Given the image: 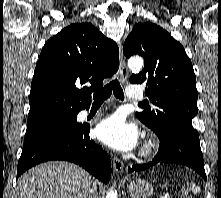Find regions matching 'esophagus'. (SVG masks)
I'll list each match as a JSON object with an SVG mask.
<instances>
[{
	"mask_svg": "<svg viewBox=\"0 0 221 198\" xmlns=\"http://www.w3.org/2000/svg\"><path fill=\"white\" fill-rule=\"evenodd\" d=\"M119 59H120V79L124 84L129 77V70L127 68L125 57L122 51L121 45L119 46ZM124 164L121 159L114 157L113 158V170L115 173H121L123 170Z\"/></svg>",
	"mask_w": 221,
	"mask_h": 198,
	"instance_id": "1",
	"label": "esophagus"
}]
</instances>
